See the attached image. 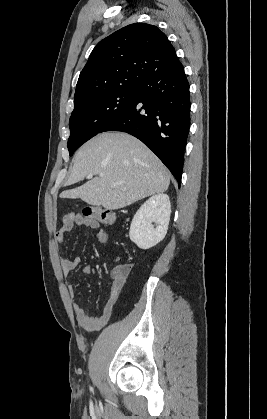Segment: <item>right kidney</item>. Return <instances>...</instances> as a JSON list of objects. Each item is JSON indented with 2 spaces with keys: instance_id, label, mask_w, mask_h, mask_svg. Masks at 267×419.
Wrapping results in <instances>:
<instances>
[{
  "instance_id": "ca27d5eb",
  "label": "right kidney",
  "mask_w": 267,
  "mask_h": 419,
  "mask_svg": "<svg viewBox=\"0 0 267 419\" xmlns=\"http://www.w3.org/2000/svg\"><path fill=\"white\" fill-rule=\"evenodd\" d=\"M170 214L168 195L156 194L150 197L133 217L129 231L130 240L141 249L155 246L167 233Z\"/></svg>"
}]
</instances>
